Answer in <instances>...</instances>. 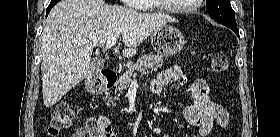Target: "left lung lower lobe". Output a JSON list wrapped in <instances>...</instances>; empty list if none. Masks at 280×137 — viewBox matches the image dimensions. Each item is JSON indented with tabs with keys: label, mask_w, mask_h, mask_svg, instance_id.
<instances>
[{
	"label": "left lung lower lobe",
	"mask_w": 280,
	"mask_h": 137,
	"mask_svg": "<svg viewBox=\"0 0 280 137\" xmlns=\"http://www.w3.org/2000/svg\"><path fill=\"white\" fill-rule=\"evenodd\" d=\"M229 28H231L235 32V34L239 37V31L237 29V26H229Z\"/></svg>",
	"instance_id": "1"
}]
</instances>
